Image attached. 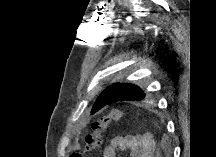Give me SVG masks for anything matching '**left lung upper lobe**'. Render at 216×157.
Returning a JSON list of instances; mask_svg holds the SVG:
<instances>
[{
	"label": "left lung upper lobe",
	"mask_w": 216,
	"mask_h": 157,
	"mask_svg": "<svg viewBox=\"0 0 216 157\" xmlns=\"http://www.w3.org/2000/svg\"><path fill=\"white\" fill-rule=\"evenodd\" d=\"M147 94L139 86L132 83H115L107 87L97 98L98 106L104 108L110 104L122 101H142ZM96 106L92 108V113Z\"/></svg>",
	"instance_id": "1"
}]
</instances>
